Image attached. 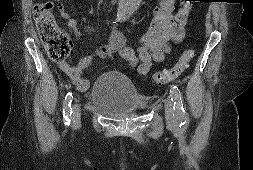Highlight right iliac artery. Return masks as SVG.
Segmentation results:
<instances>
[{"label":"right iliac artery","mask_w":253,"mask_h":170,"mask_svg":"<svg viewBox=\"0 0 253 170\" xmlns=\"http://www.w3.org/2000/svg\"><path fill=\"white\" fill-rule=\"evenodd\" d=\"M73 95L71 92H69L64 100V108H63V117L65 118V124L70 125V116L72 114V108H71V103H72Z\"/></svg>","instance_id":"1"}]
</instances>
